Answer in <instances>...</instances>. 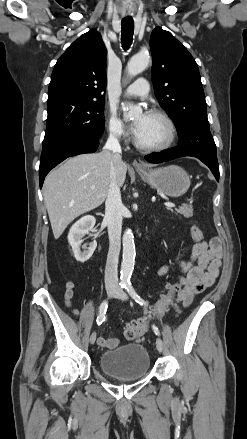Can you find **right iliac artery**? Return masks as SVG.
Segmentation results:
<instances>
[{
	"label": "right iliac artery",
	"instance_id": "1",
	"mask_svg": "<svg viewBox=\"0 0 247 439\" xmlns=\"http://www.w3.org/2000/svg\"><path fill=\"white\" fill-rule=\"evenodd\" d=\"M125 284H120V288H125ZM107 307H108V301L105 300L101 303L100 307H99V315L97 317V325L102 324V322L105 320V314L107 311Z\"/></svg>",
	"mask_w": 247,
	"mask_h": 439
}]
</instances>
